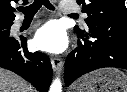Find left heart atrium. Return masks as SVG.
<instances>
[{
	"label": "left heart atrium",
	"instance_id": "obj_1",
	"mask_svg": "<svg viewBox=\"0 0 127 92\" xmlns=\"http://www.w3.org/2000/svg\"><path fill=\"white\" fill-rule=\"evenodd\" d=\"M34 42L39 49L50 53H60L68 45L66 31L57 21H50L39 28Z\"/></svg>",
	"mask_w": 127,
	"mask_h": 92
}]
</instances>
